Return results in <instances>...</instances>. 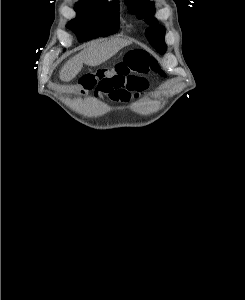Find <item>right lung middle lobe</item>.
Here are the masks:
<instances>
[{"label":"right lung middle lobe","mask_w":245,"mask_h":300,"mask_svg":"<svg viewBox=\"0 0 245 300\" xmlns=\"http://www.w3.org/2000/svg\"><path fill=\"white\" fill-rule=\"evenodd\" d=\"M77 17L69 22L68 28L78 37L79 42L100 36H108L119 30V5L105 1H80L75 5ZM85 22H93L97 26L88 30L82 26Z\"/></svg>","instance_id":"obj_1"}]
</instances>
